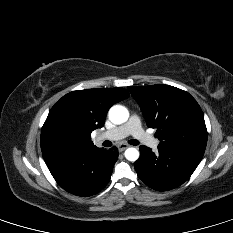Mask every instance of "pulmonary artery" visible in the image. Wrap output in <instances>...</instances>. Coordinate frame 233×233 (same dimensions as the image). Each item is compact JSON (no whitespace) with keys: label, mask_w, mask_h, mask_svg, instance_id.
Wrapping results in <instances>:
<instances>
[{"label":"pulmonary artery","mask_w":233,"mask_h":233,"mask_svg":"<svg viewBox=\"0 0 233 233\" xmlns=\"http://www.w3.org/2000/svg\"><path fill=\"white\" fill-rule=\"evenodd\" d=\"M129 135H132L142 144L156 149L159 145V141L146 133L141 127V122L138 116L132 115L130 119L123 125L106 131L100 136V138H105L109 140H120Z\"/></svg>","instance_id":"e3ab8cb5"}]
</instances>
